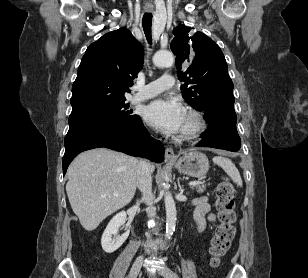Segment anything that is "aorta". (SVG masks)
<instances>
[{"mask_svg": "<svg viewBox=\"0 0 308 278\" xmlns=\"http://www.w3.org/2000/svg\"><path fill=\"white\" fill-rule=\"evenodd\" d=\"M174 62L173 54L169 51H158L153 57V63L157 67H166L172 65ZM164 202L166 209V233L165 237L170 238L175 231L176 226V206L174 199L169 190L164 185Z\"/></svg>", "mask_w": 308, "mask_h": 278, "instance_id": "aorta-1", "label": "aorta"}]
</instances>
